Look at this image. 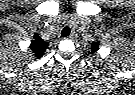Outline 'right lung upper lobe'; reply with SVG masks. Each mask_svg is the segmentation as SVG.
Segmentation results:
<instances>
[{"label": "right lung upper lobe", "instance_id": "cb5924a9", "mask_svg": "<svg viewBox=\"0 0 135 95\" xmlns=\"http://www.w3.org/2000/svg\"><path fill=\"white\" fill-rule=\"evenodd\" d=\"M48 46L49 43L42 40L41 37L37 33H35L29 48L33 53V55L35 56V58L38 59L45 54V51L48 49Z\"/></svg>", "mask_w": 135, "mask_h": 95}]
</instances>
